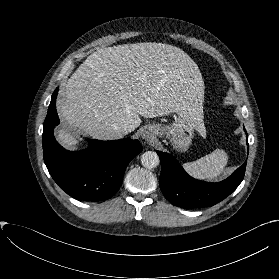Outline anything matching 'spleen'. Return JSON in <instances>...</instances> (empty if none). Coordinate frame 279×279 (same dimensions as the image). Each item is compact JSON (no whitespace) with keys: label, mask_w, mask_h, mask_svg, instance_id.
I'll return each instance as SVG.
<instances>
[{"label":"spleen","mask_w":279,"mask_h":279,"mask_svg":"<svg viewBox=\"0 0 279 279\" xmlns=\"http://www.w3.org/2000/svg\"><path fill=\"white\" fill-rule=\"evenodd\" d=\"M228 163V155L222 149L194 161L183 164L186 172L199 180H213L221 175Z\"/></svg>","instance_id":"spleen-1"}]
</instances>
